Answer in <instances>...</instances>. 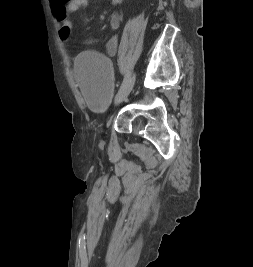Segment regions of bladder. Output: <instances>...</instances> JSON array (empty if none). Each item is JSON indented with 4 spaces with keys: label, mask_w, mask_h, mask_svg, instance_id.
Listing matches in <instances>:
<instances>
[{
    "label": "bladder",
    "mask_w": 253,
    "mask_h": 267,
    "mask_svg": "<svg viewBox=\"0 0 253 267\" xmlns=\"http://www.w3.org/2000/svg\"><path fill=\"white\" fill-rule=\"evenodd\" d=\"M73 72L88 107L104 114L114 90L110 60L102 53L84 51L76 57Z\"/></svg>",
    "instance_id": "31cf9c89"
}]
</instances>
